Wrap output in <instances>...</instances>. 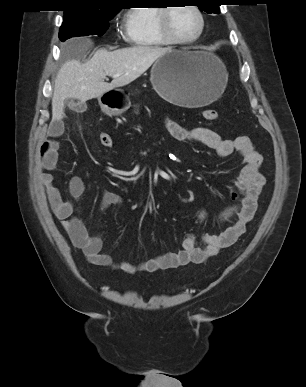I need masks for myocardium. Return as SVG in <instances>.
<instances>
[{
	"instance_id": "obj_1",
	"label": "myocardium",
	"mask_w": 306,
	"mask_h": 387,
	"mask_svg": "<svg viewBox=\"0 0 306 387\" xmlns=\"http://www.w3.org/2000/svg\"><path fill=\"white\" fill-rule=\"evenodd\" d=\"M186 6L190 7L192 10H194L196 12V14L198 15L199 20H200V26H199V30H198L197 34L195 36H193L192 38H188V39L179 38L172 31L170 17H171V13L175 9V7L174 6H166V7H163L160 9L159 17H158L159 30H160L162 37L169 44H177V45L193 44L196 41H198L204 33L205 16H204L202 10L197 5H194V4H189Z\"/></svg>"
}]
</instances>
